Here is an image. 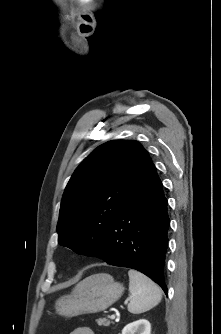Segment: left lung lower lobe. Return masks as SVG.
Instances as JSON below:
<instances>
[{
	"instance_id": "obj_1",
	"label": "left lung lower lobe",
	"mask_w": 221,
	"mask_h": 334,
	"mask_svg": "<svg viewBox=\"0 0 221 334\" xmlns=\"http://www.w3.org/2000/svg\"><path fill=\"white\" fill-rule=\"evenodd\" d=\"M162 183L152 164L114 217L100 258L138 270L167 294L165 257L170 219Z\"/></svg>"
}]
</instances>
